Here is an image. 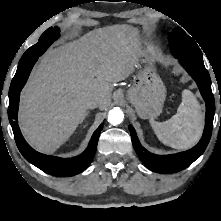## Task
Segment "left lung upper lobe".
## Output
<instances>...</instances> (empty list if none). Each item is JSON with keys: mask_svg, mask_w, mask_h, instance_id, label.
<instances>
[{"mask_svg": "<svg viewBox=\"0 0 221 221\" xmlns=\"http://www.w3.org/2000/svg\"><path fill=\"white\" fill-rule=\"evenodd\" d=\"M169 44L170 50L176 58L203 64L202 52L198 45L181 28L177 27L169 33Z\"/></svg>", "mask_w": 221, "mask_h": 221, "instance_id": "obj_1", "label": "left lung upper lobe"}]
</instances>
